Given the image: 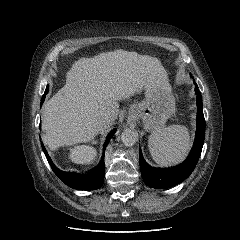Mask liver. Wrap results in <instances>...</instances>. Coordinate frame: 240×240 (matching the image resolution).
Masks as SVG:
<instances>
[{
  "label": "liver",
  "instance_id": "1",
  "mask_svg": "<svg viewBox=\"0 0 240 240\" xmlns=\"http://www.w3.org/2000/svg\"><path fill=\"white\" fill-rule=\"evenodd\" d=\"M166 81L160 60L122 49L81 58L66 73V84L43 107L44 143L60 146L90 142L105 132L119 112L118 101L140 92L146 84ZM103 114L110 123L98 128Z\"/></svg>",
  "mask_w": 240,
  "mask_h": 240
}]
</instances>
